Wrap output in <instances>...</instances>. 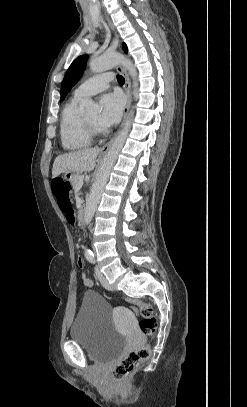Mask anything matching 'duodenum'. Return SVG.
Returning a JSON list of instances; mask_svg holds the SVG:
<instances>
[{"label":"duodenum","mask_w":247,"mask_h":407,"mask_svg":"<svg viewBox=\"0 0 247 407\" xmlns=\"http://www.w3.org/2000/svg\"><path fill=\"white\" fill-rule=\"evenodd\" d=\"M85 211H86L85 206L79 208V210H78L79 221H83V219L85 217Z\"/></svg>","instance_id":"1"}]
</instances>
